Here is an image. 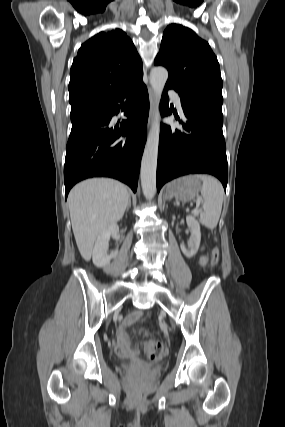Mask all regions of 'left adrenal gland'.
<instances>
[{
    "label": "left adrenal gland",
    "mask_w": 285,
    "mask_h": 427,
    "mask_svg": "<svg viewBox=\"0 0 285 427\" xmlns=\"http://www.w3.org/2000/svg\"><path fill=\"white\" fill-rule=\"evenodd\" d=\"M166 200H171V199L168 197V195H167V194H165V196H164V202H165Z\"/></svg>",
    "instance_id": "a2214340"
}]
</instances>
